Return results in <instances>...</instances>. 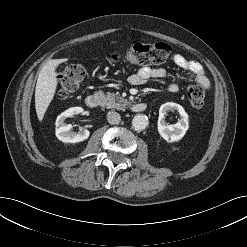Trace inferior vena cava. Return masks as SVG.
Wrapping results in <instances>:
<instances>
[{"label":"inferior vena cava","mask_w":247,"mask_h":247,"mask_svg":"<svg viewBox=\"0 0 247 247\" xmlns=\"http://www.w3.org/2000/svg\"><path fill=\"white\" fill-rule=\"evenodd\" d=\"M107 120L110 124H119L121 117L119 113L115 111H109L107 113Z\"/></svg>","instance_id":"obj_1"}]
</instances>
